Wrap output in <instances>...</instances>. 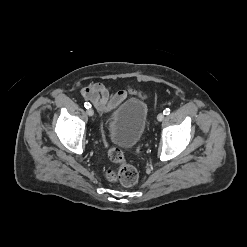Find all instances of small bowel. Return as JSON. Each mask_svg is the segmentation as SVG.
Instances as JSON below:
<instances>
[{"instance_id": "small-bowel-1", "label": "small bowel", "mask_w": 247, "mask_h": 247, "mask_svg": "<svg viewBox=\"0 0 247 247\" xmlns=\"http://www.w3.org/2000/svg\"><path fill=\"white\" fill-rule=\"evenodd\" d=\"M83 98L91 102L95 108L102 112L108 113L120 105L129 95H136L146 98L147 95L130 86L111 94L109 87L102 83L94 82L86 85L81 89Z\"/></svg>"}]
</instances>
